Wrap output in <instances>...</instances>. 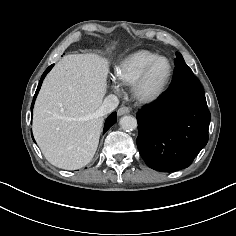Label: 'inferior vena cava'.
Returning a JSON list of instances; mask_svg holds the SVG:
<instances>
[{"instance_id":"1","label":"inferior vena cava","mask_w":236,"mask_h":236,"mask_svg":"<svg viewBox=\"0 0 236 236\" xmlns=\"http://www.w3.org/2000/svg\"><path fill=\"white\" fill-rule=\"evenodd\" d=\"M118 104H119V99L117 98V96L110 94L104 99V101L99 109V113L102 116H104V115L112 112L114 109H116Z\"/></svg>"}]
</instances>
